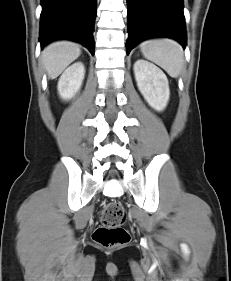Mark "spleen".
Here are the masks:
<instances>
[{
    "mask_svg": "<svg viewBox=\"0 0 231 281\" xmlns=\"http://www.w3.org/2000/svg\"><path fill=\"white\" fill-rule=\"evenodd\" d=\"M144 57L162 67L171 77L180 75L184 53L182 47L171 39L145 41L140 44Z\"/></svg>",
    "mask_w": 231,
    "mask_h": 281,
    "instance_id": "3e777b00",
    "label": "spleen"
}]
</instances>
